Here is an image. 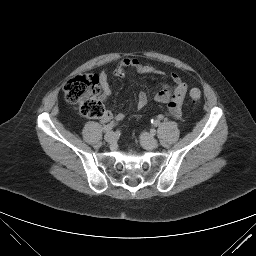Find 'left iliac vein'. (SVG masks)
Returning <instances> with one entry per match:
<instances>
[{"label":"left iliac vein","mask_w":256,"mask_h":256,"mask_svg":"<svg viewBox=\"0 0 256 256\" xmlns=\"http://www.w3.org/2000/svg\"><path fill=\"white\" fill-rule=\"evenodd\" d=\"M140 141L144 148L146 149H155L158 147V141L149 133L143 132L140 135Z\"/></svg>","instance_id":"left-iliac-vein-1"}]
</instances>
